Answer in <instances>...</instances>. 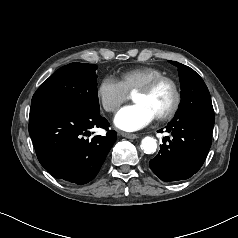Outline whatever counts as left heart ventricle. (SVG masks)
Returning a JSON list of instances; mask_svg holds the SVG:
<instances>
[{
	"label": "left heart ventricle",
	"instance_id": "b2bd125f",
	"mask_svg": "<svg viewBox=\"0 0 238 238\" xmlns=\"http://www.w3.org/2000/svg\"><path fill=\"white\" fill-rule=\"evenodd\" d=\"M133 101L146 105L158 116L170 109L174 101V93L168 83H163L149 94L135 93Z\"/></svg>",
	"mask_w": 238,
	"mask_h": 238
}]
</instances>
